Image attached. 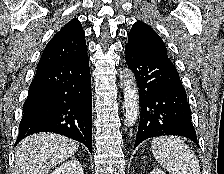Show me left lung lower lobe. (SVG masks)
Masks as SVG:
<instances>
[{
	"label": "left lung lower lobe",
	"instance_id": "obj_1",
	"mask_svg": "<svg viewBox=\"0 0 224 174\" xmlns=\"http://www.w3.org/2000/svg\"><path fill=\"white\" fill-rule=\"evenodd\" d=\"M125 52L126 63L137 80L141 109L134 148L162 135L184 136L198 144L186 91L169 57L128 48Z\"/></svg>",
	"mask_w": 224,
	"mask_h": 174
}]
</instances>
